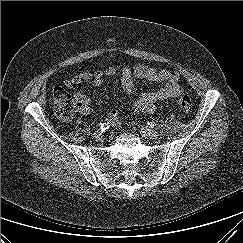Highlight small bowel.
Wrapping results in <instances>:
<instances>
[{"instance_id":"c3829d8e","label":"small bowel","mask_w":243,"mask_h":243,"mask_svg":"<svg viewBox=\"0 0 243 243\" xmlns=\"http://www.w3.org/2000/svg\"><path fill=\"white\" fill-rule=\"evenodd\" d=\"M116 75L119 76L122 88L126 93L133 91L135 79L164 83V86L156 91L141 93L132 106L133 113H151L159 101L177 97L182 92L180 76L176 71L157 69L146 64H139L134 69L123 67L118 70L109 66L95 72L85 71L72 77L65 84L68 88H73L83 82L93 81L95 85L99 86L104 82V77ZM75 98L78 103V111L83 115H88L90 113L89 98L83 93H76ZM107 120L114 126L120 125L117 111H111Z\"/></svg>"}]
</instances>
